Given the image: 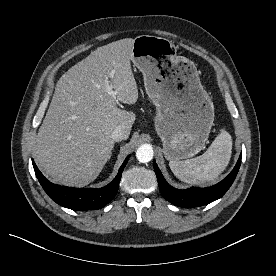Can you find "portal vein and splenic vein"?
Instances as JSON below:
<instances>
[{"mask_svg":"<svg viewBox=\"0 0 276 276\" xmlns=\"http://www.w3.org/2000/svg\"><path fill=\"white\" fill-rule=\"evenodd\" d=\"M112 76H113V73L110 74V77H112ZM105 88L109 95L115 97L117 92L112 89L111 85L109 84L108 79L105 80Z\"/></svg>","mask_w":276,"mask_h":276,"instance_id":"obj_1","label":"portal vein and splenic vein"}]
</instances>
